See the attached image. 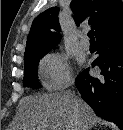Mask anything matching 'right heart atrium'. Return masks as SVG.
I'll return each instance as SVG.
<instances>
[{
	"instance_id": "1",
	"label": "right heart atrium",
	"mask_w": 123,
	"mask_h": 130,
	"mask_svg": "<svg viewBox=\"0 0 123 130\" xmlns=\"http://www.w3.org/2000/svg\"><path fill=\"white\" fill-rule=\"evenodd\" d=\"M40 72L46 86L54 91L66 88L73 80L67 57L58 52L50 53L42 59Z\"/></svg>"
}]
</instances>
